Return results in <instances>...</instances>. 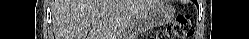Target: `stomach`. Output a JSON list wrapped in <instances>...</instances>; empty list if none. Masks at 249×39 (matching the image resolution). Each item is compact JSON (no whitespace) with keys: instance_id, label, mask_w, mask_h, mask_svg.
Segmentation results:
<instances>
[{"instance_id":"stomach-1","label":"stomach","mask_w":249,"mask_h":39,"mask_svg":"<svg viewBox=\"0 0 249 39\" xmlns=\"http://www.w3.org/2000/svg\"><path fill=\"white\" fill-rule=\"evenodd\" d=\"M173 14L174 9L171 5L166 1H158L135 18L125 37L134 39L150 29L166 25L172 20Z\"/></svg>"}]
</instances>
